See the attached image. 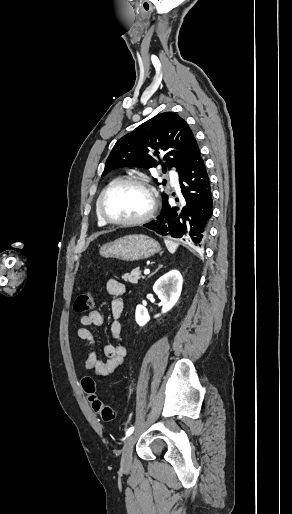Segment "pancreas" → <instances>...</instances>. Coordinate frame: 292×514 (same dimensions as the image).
I'll list each match as a JSON object with an SVG mask.
<instances>
[{
  "label": "pancreas",
  "mask_w": 292,
  "mask_h": 514,
  "mask_svg": "<svg viewBox=\"0 0 292 514\" xmlns=\"http://www.w3.org/2000/svg\"><path fill=\"white\" fill-rule=\"evenodd\" d=\"M123 280H125V282H131V284H137L138 280H140V278H144V276H141V272L139 270V268H136V270H132L131 274H124V276H122Z\"/></svg>",
  "instance_id": "obj_1"
}]
</instances>
